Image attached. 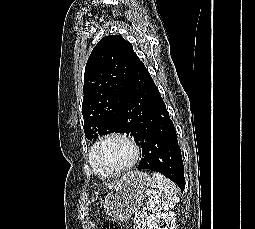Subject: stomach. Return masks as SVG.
Listing matches in <instances>:
<instances>
[{
  "label": "stomach",
  "instance_id": "0dacf381",
  "mask_svg": "<svg viewBox=\"0 0 255 229\" xmlns=\"http://www.w3.org/2000/svg\"><path fill=\"white\" fill-rule=\"evenodd\" d=\"M153 182L144 171H129L115 184L103 203L108 216L117 221H127L138 211L143 199L152 192Z\"/></svg>",
  "mask_w": 255,
  "mask_h": 229
}]
</instances>
